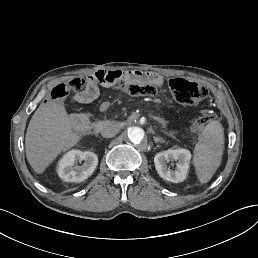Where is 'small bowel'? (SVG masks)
I'll use <instances>...</instances> for the list:
<instances>
[{
    "label": "small bowel",
    "instance_id": "obj_1",
    "mask_svg": "<svg viewBox=\"0 0 258 258\" xmlns=\"http://www.w3.org/2000/svg\"><path fill=\"white\" fill-rule=\"evenodd\" d=\"M97 89L94 86L88 85L87 88L75 96V100L79 102H87L96 97Z\"/></svg>",
    "mask_w": 258,
    "mask_h": 258
}]
</instances>
